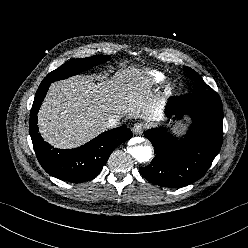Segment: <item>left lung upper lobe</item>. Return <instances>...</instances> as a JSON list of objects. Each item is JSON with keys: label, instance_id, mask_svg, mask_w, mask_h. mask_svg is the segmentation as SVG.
<instances>
[{"label": "left lung upper lobe", "instance_id": "1", "mask_svg": "<svg viewBox=\"0 0 248 248\" xmlns=\"http://www.w3.org/2000/svg\"><path fill=\"white\" fill-rule=\"evenodd\" d=\"M184 71L191 79L202 85L203 89H210L209 86L202 80V78L193 69L189 67H184Z\"/></svg>", "mask_w": 248, "mask_h": 248}]
</instances>
